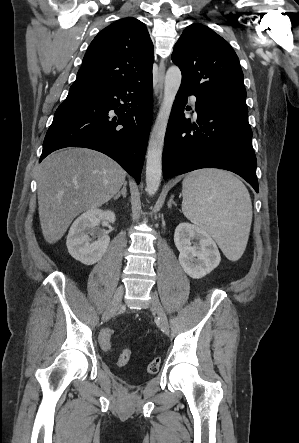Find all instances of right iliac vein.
<instances>
[{
    "label": "right iliac vein",
    "instance_id": "right-iliac-vein-1",
    "mask_svg": "<svg viewBox=\"0 0 299 443\" xmlns=\"http://www.w3.org/2000/svg\"><path fill=\"white\" fill-rule=\"evenodd\" d=\"M123 293H124V287L119 286L117 288L109 306L107 307L106 311L103 314V317H102L103 321L108 320L119 309V307L121 305Z\"/></svg>",
    "mask_w": 299,
    "mask_h": 443
}]
</instances>
